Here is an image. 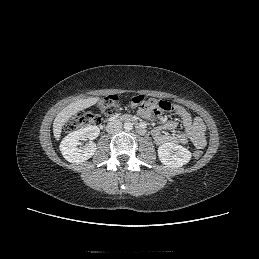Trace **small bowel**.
Segmentation results:
<instances>
[{
    "label": "small bowel",
    "instance_id": "obj_1",
    "mask_svg": "<svg viewBox=\"0 0 259 259\" xmlns=\"http://www.w3.org/2000/svg\"><path fill=\"white\" fill-rule=\"evenodd\" d=\"M174 111L182 122L183 131L175 132L178 123L175 120H169L153 129L152 136L155 142L159 145L165 143H191L198 149L204 148L206 146V126L202 119L192 117L184 107L179 105L176 106ZM139 114L144 118L151 115L142 109H139Z\"/></svg>",
    "mask_w": 259,
    "mask_h": 259
}]
</instances>
